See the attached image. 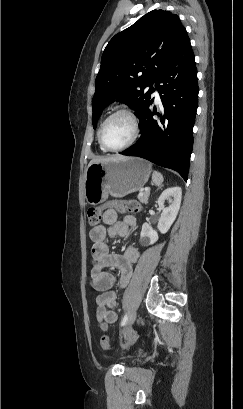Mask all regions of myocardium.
<instances>
[{"instance_id": "myocardium-1", "label": "myocardium", "mask_w": 243, "mask_h": 409, "mask_svg": "<svg viewBox=\"0 0 243 409\" xmlns=\"http://www.w3.org/2000/svg\"><path fill=\"white\" fill-rule=\"evenodd\" d=\"M118 115H125L131 120L132 125H133V135L130 138V140L126 144H124L123 146L118 147V148H112V147L108 146L104 141L103 128H104L105 124L110 119H112V118H114V117H116ZM140 129H141L140 120H139V117L137 116L136 112L132 108H130L128 106H122V107H119L116 110H114L112 113H110L103 120V122L101 123V125L99 127V130H98V140H99L100 145L105 150L110 151V152H120V151H123L124 149L130 147L137 140V138L139 137V134H140Z\"/></svg>"}]
</instances>
